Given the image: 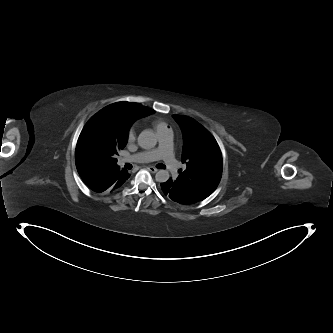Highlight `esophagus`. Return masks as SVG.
I'll use <instances>...</instances> for the list:
<instances>
[{"label":"esophagus","mask_w":333,"mask_h":333,"mask_svg":"<svg viewBox=\"0 0 333 333\" xmlns=\"http://www.w3.org/2000/svg\"><path fill=\"white\" fill-rule=\"evenodd\" d=\"M147 169L151 172V173H156L158 171L157 168L153 167V166H149L147 167Z\"/></svg>","instance_id":"1"}]
</instances>
